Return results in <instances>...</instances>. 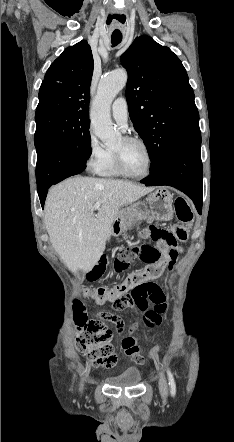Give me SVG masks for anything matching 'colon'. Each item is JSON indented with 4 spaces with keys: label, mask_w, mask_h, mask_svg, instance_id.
Returning <instances> with one entry per match:
<instances>
[{
    "label": "colon",
    "mask_w": 234,
    "mask_h": 442,
    "mask_svg": "<svg viewBox=\"0 0 234 442\" xmlns=\"http://www.w3.org/2000/svg\"><path fill=\"white\" fill-rule=\"evenodd\" d=\"M175 213L179 223L170 230H160L155 226H150L146 229L150 237L155 241V246L143 244L124 250L113 262V271L116 274L126 270L136 258L147 263L144 269L131 274L119 285L112 288L101 287L87 291V295L97 303L111 302L117 310L131 308L136 312L144 313L145 317L152 316L153 314H162L166 309L165 297L157 287L151 286L148 281L161 276L165 267L158 262L159 257L162 254L170 253L177 241H186L188 239L189 228L194 219L192 209L183 197L176 198ZM105 265L106 260L103 257L88 273V278L90 280L98 279L103 274ZM131 286L132 288L129 289ZM148 300L155 305L153 310L147 311ZM76 311L77 325L81 330L77 338L78 347L85 352L92 364L110 367L116 360L109 344L110 332L108 330H99L98 325L95 328L90 327L89 323L87 324L86 322L80 305H77ZM119 320L121 319L119 318ZM124 343L127 342L124 341ZM149 350L150 354H148V357H150V360H153L151 355L155 356L158 354L156 350H160V347L151 345ZM146 364H149V361H146Z\"/></svg>",
    "instance_id": "obj_1"
}]
</instances>
